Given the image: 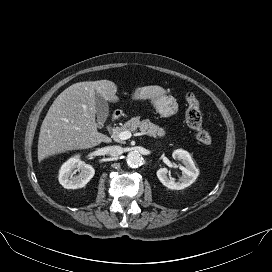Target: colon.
I'll return each mask as SVG.
<instances>
[{"instance_id":"colon-1","label":"colon","mask_w":272,"mask_h":272,"mask_svg":"<svg viewBox=\"0 0 272 272\" xmlns=\"http://www.w3.org/2000/svg\"><path fill=\"white\" fill-rule=\"evenodd\" d=\"M185 102L187 107L185 118L188 126L194 131L196 139L200 143L210 145L212 136L203 128L200 104L197 97L193 93L188 92L185 94Z\"/></svg>"}]
</instances>
